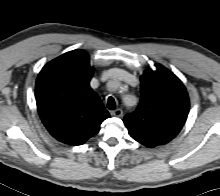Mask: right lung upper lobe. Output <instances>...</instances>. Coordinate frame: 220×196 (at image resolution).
<instances>
[{
	"label": "right lung upper lobe",
	"instance_id": "cb5924a9",
	"mask_svg": "<svg viewBox=\"0 0 220 196\" xmlns=\"http://www.w3.org/2000/svg\"><path fill=\"white\" fill-rule=\"evenodd\" d=\"M93 68L84 50L67 52L47 63L35 87L39 116L58 141L81 145L99 131L108 117L89 82Z\"/></svg>",
	"mask_w": 220,
	"mask_h": 196
}]
</instances>
